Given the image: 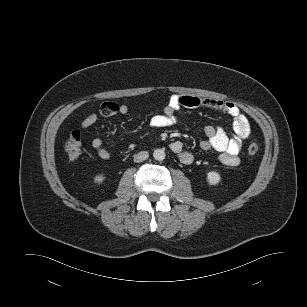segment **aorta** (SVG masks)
Here are the masks:
<instances>
[{
    "mask_svg": "<svg viewBox=\"0 0 307 307\" xmlns=\"http://www.w3.org/2000/svg\"><path fill=\"white\" fill-rule=\"evenodd\" d=\"M165 151L163 149H156L154 152H153V157L155 160L157 161H162L165 159Z\"/></svg>",
    "mask_w": 307,
    "mask_h": 307,
    "instance_id": "1",
    "label": "aorta"
}]
</instances>
